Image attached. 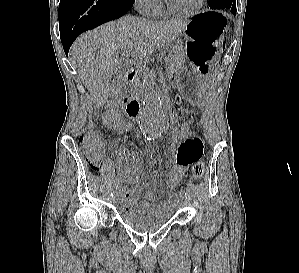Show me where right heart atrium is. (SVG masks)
<instances>
[{"mask_svg": "<svg viewBox=\"0 0 299 273\" xmlns=\"http://www.w3.org/2000/svg\"><path fill=\"white\" fill-rule=\"evenodd\" d=\"M138 8L145 12H152L160 5L161 0H134Z\"/></svg>", "mask_w": 299, "mask_h": 273, "instance_id": "1", "label": "right heart atrium"}]
</instances>
